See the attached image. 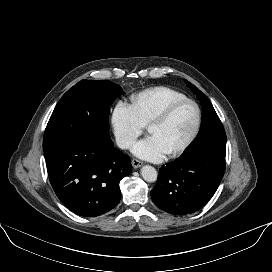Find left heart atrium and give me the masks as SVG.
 I'll return each mask as SVG.
<instances>
[{
	"label": "left heart atrium",
	"mask_w": 272,
	"mask_h": 272,
	"mask_svg": "<svg viewBox=\"0 0 272 272\" xmlns=\"http://www.w3.org/2000/svg\"><path fill=\"white\" fill-rule=\"evenodd\" d=\"M132 152L137 157L149 161L161 160L167 154L164 147L155 136H149L136 143L132 148Z\"/></svg>",
	"instance_id": "1"
}]
</instances>
